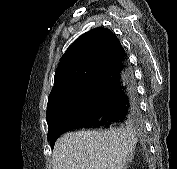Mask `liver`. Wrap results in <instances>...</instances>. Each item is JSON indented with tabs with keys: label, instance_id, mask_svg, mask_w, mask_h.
I'll use <instances>...</instances> for the list:
<instances>
[{
	"label": "liver",
	"instance_id": "obj_1",
	"mask_svg": "<svg viewBox=\"0 0 177 169\" xmlns=\"http://www.w3.org/2000/svg\"><path fill=\"white\" fill-rule=\"evenodd\" d=\"M136 143L130 127L70 132L56 141L52 169H126Z\"/></svg>",
	"mask_w": 177,
	"mask_h": 169
}]
</instances>
